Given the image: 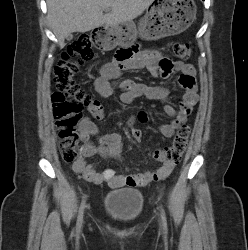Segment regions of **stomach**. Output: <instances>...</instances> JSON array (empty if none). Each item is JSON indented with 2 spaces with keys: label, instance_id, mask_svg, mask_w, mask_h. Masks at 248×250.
<instances>
[{
  "label": "stomach",
  "instance_id": "stomach-1",
  "mask_svg": "<svg viewBox=\"0 0 248 250\" xmlns=\"http://www.w3.org/2000/svg\"><path fill=\"white\" fill-rule=\"evenodd\" d=\"M197 7L193 0H155L138 26L133 21L115 26L105 25L103 49L128 47L137 37L157 40L185 31L196 19Z\"/></svg>",
  "mask_w": 248,
  "mask_h": 250
}]
</instances>
